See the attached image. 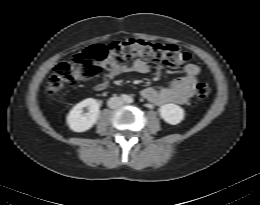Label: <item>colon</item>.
Listing matches in <instances>:
<instances>
[{
    "instance_id": "1",
    "label": "colon",
    "mask_w": 260,
    "mask_h": 205,
    "mask_svg": "<svg viewBox=\"0 0 260 205\" xmlns=\"http://www.w3.org/2000/svg\"><path fill=\"white\" fill-rule=\"evenodd\" d=\"M108 56L120 64L138 58L171 68L184 67L190 59L187 52L175 45L154 44L137 39L118 40L106 45L94 44L55 67L47 82L46 93L53 97L68 85L96 78L102 72V62ZM209 94L210 86L207 83L196 84L195 96L198 99H205Z\"/></svg>"
}]
</instances>
